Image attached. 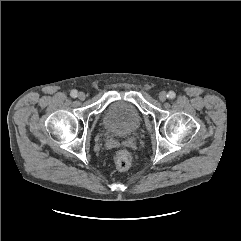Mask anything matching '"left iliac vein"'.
I'll use <instances>...</instances> for the list:
<instances>
[{
	"mask_svg": "<svg viewBox=\"0 0 241 241\" xmlns=\"http://www.w3.org/2000/svg\"><path fill=\"white\" fill-rule=\"evenodd\" d=\"M166 99H167V94H166V92H165V91H161V92L159 93V100H160L161 102H164Z\"/></svg>",
	"mask_w": 241,
	"mask_h": 241,
	"instance_id": "1",
	"label": "left iliac vein"
}]
</instances>
